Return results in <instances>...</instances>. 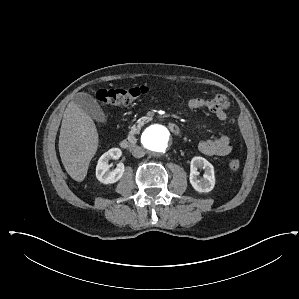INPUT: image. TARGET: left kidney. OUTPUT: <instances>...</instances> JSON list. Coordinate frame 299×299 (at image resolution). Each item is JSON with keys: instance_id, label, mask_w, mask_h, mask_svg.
<instances>
[{"instance_id": "obj_1", "label": "left kidney", "mask_w": 299, "mask_h": 299, "mask_svg": "<svg viewBox=\"0 0 299 299\" xmlns=\"http://www.w3.org/2000/svg\"><path fill=\"white\" fill-rule=\"evenodd\" d=\"M198 169L204 170L203 178H199ZM190 183L195 191L208 193L215 186L214 167L203 157H193L190 163Z\"/></svg>"}]
</instances>
